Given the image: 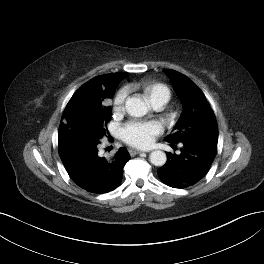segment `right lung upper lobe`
I'll use <instances>...</instances> for the list:
<instances>
[{
  "mask_svg": "<svg viewBox=\"0 0 264 264\" xmlns=\"http://www.w3.org/2000/svg\"><path fill=\"white\" fill-rule=\"evenodd\" d=\"M126 76L127 73L107 74L95 77L81 86L67 104L60 127L64 125V121H66L74 111L90 107L98 100H102L103 96L106 94L114 92L116 85Z\"/></svg>",
  "mask_w": 264,
  "mask_h": 264,
  "instance_id": "obj_1",
  "label": "right lung upper lobe"
}]
</instances>
